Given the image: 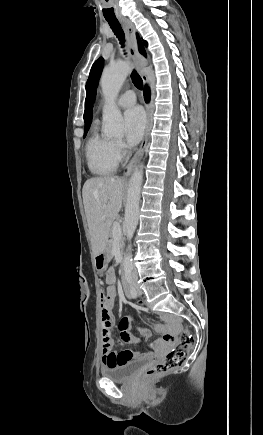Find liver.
<instances>
[{
	"label": "liver",
	"instance_id": "obj_1",
	"mask_svg": "<svg viewBox=\"0 0 263 435\" xmlns=\"http://www.w3.org/2000/svg\"><path fill=\"white\" fill-rule=\"evenodd\" d=\"M124 182L117 177L88 179L82 190L93 254L106 250L113 221L122 207Z\"/></svg>",
	"mask_w": 263,
	"mask_h": 435
}]
</instances>
